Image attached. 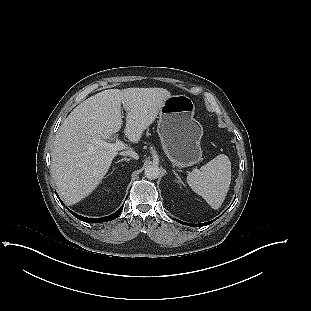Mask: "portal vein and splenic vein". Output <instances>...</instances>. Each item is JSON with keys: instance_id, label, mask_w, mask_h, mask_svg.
<instances>
[{"instance_id": "obj_1", "label": "portal vein and splenic vein", "mask_w": 311, "mask_h": 311, "mask_svg": "<svg viewBox=\"0 0 311 311\" xmlns=\"http://www.w3.org/2000/svg\"><path fill=\"white\" fill-rule=\"evenodd\" d=\"M100 144L106 149H111V150H116V151L125 149V144L119 139H117L115 143H108L106 141H100Z\"/></svg>"}]
</instances>
